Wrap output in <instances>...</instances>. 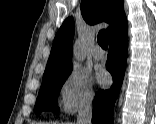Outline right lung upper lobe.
<instances>
[{
  "label": "right lung upper lobe",
  "instance_id": "1",
  "mask_svg": "<svg viewBox=\"0 0 156 124\" xmlns=\"http://www.w3.org/2000/svg\"><path fill=\"white\" fill-rule=\"evenodd\" d=\"M81 13L88 24L107 22L109 40L128 28L123 0H81ZM73 18H67L57 32L43 78L72 69Z\"/></svg>",
  "mask_w": 156,
  "mask_h": 124
}]
</instances>
